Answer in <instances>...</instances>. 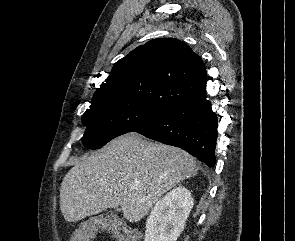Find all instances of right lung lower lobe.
<instances>
[{
    "mask_svg": "<svg viewBox=\"0 0 295 241\" xmlns=\"http://www.w3.org/2000/svg\"><path fill=\"white\" fill-rule=\"evenodd\" d=\"M217 126V115L204 93L179 101L132 131L182 148L213 167L216 164Z\"/></svg>",
    "mask_w": 295,
    "mask_h": 241,
    "instance_id": "98d812e1",
    "label": "right lung lower lobe"
}]
</instances>
